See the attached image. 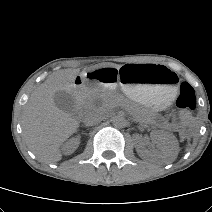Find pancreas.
Here are the masks:
<instances>
[{"label": "pancreas", "instance_id": "cf45deb5", "mask_svg": "<svg viewBox=\"0 0 212 212\" xmlns=\"http://www.w3.org/2000/svg\"><path fill=\"white\" fill-rule=\"evenodd\" d=\"M96 98H101L103 100L104 110H110L120 105L122 107H125L127 110H129L138 122L147 123L152 121V116L147 110L111 92H105L102 94L89 92L83 102L84 107L91 108Z\"/></svg>", "mask_w": 212, "mask_h": 212}]
</instances>
